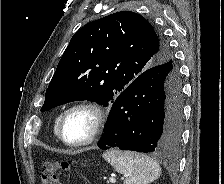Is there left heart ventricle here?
<instances>
[{"label": "left heart ventricle", "instance_id": "b2bd125f", "mask_svg": "<svg viewBox=\"0 0 224 184\" xmlns=\"http://www.w3.org/2000/svg\"><path fill=\"white\" fill-rule=\"evenodd\" d=\"M94 124V116L87 110H76L68 115L64 122V137L71 142H79L86 139L91 133Z\"/></svg>", "mask_w": 224, "mask_h": 184}]
</instances>
